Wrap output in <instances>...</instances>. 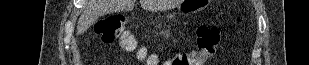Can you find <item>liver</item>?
<instances>
[{"label": "liver", "instance_id": "obj_1", "mask_svg": "<svg viewBox=\"0 0 309 65\" xmlns=\"http://www.w3.org/2000/svg\"><path fill=\"white\" fill-rule=\"evenodd\" d=\"M141 6L151 11L164 10L169 6L166 0H140ZM135 0H84L83 11L77 22V34L86 32L100 16L132 10Z\"/></svg>", "mask_w": 309, "mask_h": 65}]
</instances>
